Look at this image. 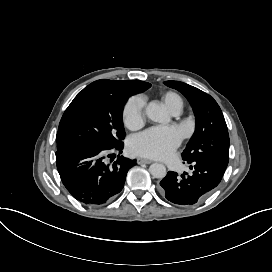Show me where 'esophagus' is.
Masks as SVG:
<instances>
[{
  "instance_id": "34e87169",
  "label": "esophagus",
  "mask_w": 272,
  "mask_h": 272,
  "mask_svg": "<svg viewBox=\"0 0 272 272\" xmlns=\"http://www.w3.org/2000/svg\"><path fill=\"white\" fill-rule=\"evenodd\" d=\"M137 163H138V164H151L152 161L149 160V159H145V158H138V159H137Z\"/></svg>"
}]
</instances>
